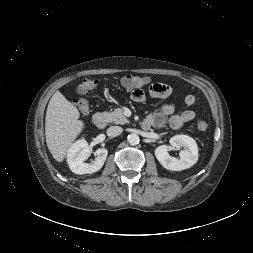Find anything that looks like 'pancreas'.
<instances>
[{"mask_svg": "<svg viewBox=\"0 0 253 253\" xmlns=\"http://www.w3.org/2000/svg\"><path fill=\"white\" fill-rule=\"evenodd\" d=\"M102 115L106 122L121 125L129 123L128 119L124 116L123 110L121 108H117L112 112H103Z\"/></svg>", "mask_w": 253, "mask_h": 253, "instance_id": "1", "label": "pancreas"}]
</instances>
